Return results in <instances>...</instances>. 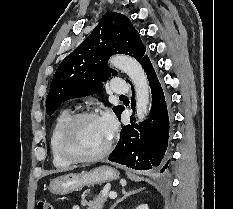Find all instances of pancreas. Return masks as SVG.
<instances>
[{
  "label": "pancreas",
  "mask_w": 233,
  "mask_h": 209,
  "mask_svg": "<svg viewBox=\"0 0 233 209\" xmlns=\"http://www.w3.org/2000/svg\"><path fill=\"white\" fill-rule=\"evenodd\" d=\"M108 198V195L99 194L92 201L83 200L82 206H87V209H103V206Z\"/></svg>",
  "instance_id": "cf45deb5"
}]
</instances>
